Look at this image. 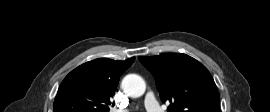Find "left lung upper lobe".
I'll use <instances>...</instances> for the list:
<instances>
[{
	"mask_svg": "<svg viewBox=\"0 0 270 112\" xmlns=\"http://www.w3.org/2000/svg\"><path fill=\"white\" fill-rule=\"evenodd\" d=\"M153 74L168 112H220L219 94L210 72L181 53L139 57Z\"/></svg>",
	"mask_w": 270,
	"mask_h": 112,
	"instance_id": "1",
	"label": "left lung upper lobe"
}]
</instances>
